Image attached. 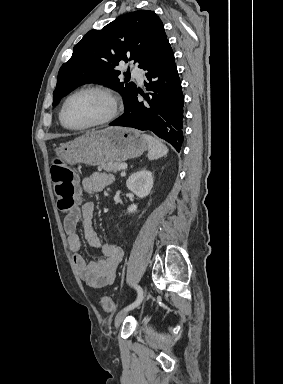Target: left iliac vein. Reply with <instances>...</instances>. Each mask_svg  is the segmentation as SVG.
Instances as JSON below:
<instances>
[{
    "label": "left iliac vein",
    "mask_w": 283,
    "mask_h": 384,
    "mask_svg": "<svg viewBox=\"0 0 283 384\" xmlns=\"http://www.w3.org/2000/svg\"><path fill=\"white\" fill-rule=\"evenodd\" d=\"M129 310H121L115 317L114 325L116 328L120 326L124 318L126 317Z\"/></svg>",
    "instance_id": "left-iliac-vein-1"
}]
</instances>
